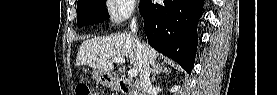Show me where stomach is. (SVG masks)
I'll return each mask as SVG.
<instances>
[{
    "instance_id": "1",
    "label": "stomach",
    "mask_w": 277,
    "mask_h": 95,
    "mask_svg": "<svg viewBox=\"0 0 277 95\" xmlns=\"http://www.w3.org/2000/svg\"><path fill=\"white\" fill-rule=\"evenodd\" d=\"M93 76L96 79V81L102 84L103 86L113 87L115 85L114 79L110 73H103V72L94 70Z\"/></svg>"
}]
</instances>
